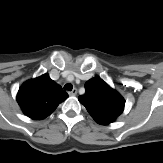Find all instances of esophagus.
Wrapping results in <instances>:
<instances>
[{"mask_svg": "<svg viewBox=\"0 0 163 163\" xmlns=\"http://www.w3.org/2000/svg\"><path fill=\"white\" fill-rule=\"evenodd\" d=\"M68 94H69L70 96H75V95L77 94V89L74 88L73 90H71L70 92H68Z\"/></svg>", "mask_w": 163, "mask_h": 163, "instance_id": "obj_1", "label": "esophagus"}]
</instances>
